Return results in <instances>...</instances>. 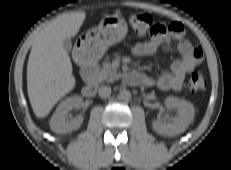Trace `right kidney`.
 <instances>
[{"instance_id": "1", "label": "right kidney", "mask_w": 231, "mask_h": 170, "mask_svg": "<svg viewBox=\"0 0 231 170\" xmlns=\"http://www.w3.org/2000/svg\"><path fill=\"white\" fill-rule=\"evenodd\" d=\"M82 105L83 99L79 96L69 97L61 102L50 120L51 130L56 133L66 134L78 129L83 122L82 116L79 115L70 121H67L66 118L70 110L81 108Z\"/></svg>"}]
</instances>
